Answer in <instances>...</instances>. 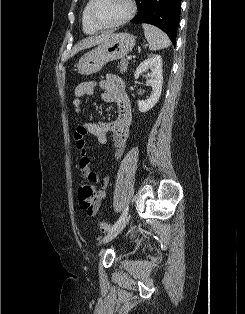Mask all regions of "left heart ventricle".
Returning a JSON list of instances; mask_svg holds the SVG:
<instances>
[{"instance_id": "obj_1", "label": "left heart ventricle", "mask_w": 245, "mask_h": 314, "mask_svg": "<svg viewBox=\"0 0 245 314\" xmlns=\"http://www.w3.org/2000/svg\"><path fill=\"white\" fill-rule=\"evenodd\" d=\"M127 12V0H97L95 5V15L101 23H113Z\"/></svg>"}]
</instances>
